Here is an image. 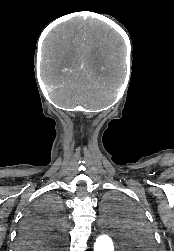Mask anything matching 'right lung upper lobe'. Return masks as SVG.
<instances>
[{
	"label": "right lung upper lobe",
	"mask_w": 174,
	"mask_h": 251,
	"mask_svg": "<svg viewBox=\"0 0 174 251\" xmlns=\"http://www.w3.org/2000/svg\"><path fill=\"white\" fill-rule=\"evenodd\" d=\"M47 247H48V243L47 241H44V243L40 247H34V248L43 250L44 248H47Z\"/></svg>",
	"instance_id": "right-lung-upper-lobe-1"
}]
</instances>
